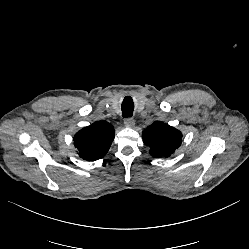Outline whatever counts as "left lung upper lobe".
<instances>
[{
    "mask_svg": "<svg viewBox=\"0 0 249 249\" xmlns=\"http://www.w3.org/2000/svg\"><path fill=\"white\" fill-rule=\"evenodd\" d=\"M142 136L152 156L168 157L181 145L182 134L168 124L155 121L144 130Z\"/></svg>",
    "mask_w": 249,
    "mask_h": 249,
    "instance_id": "1",
    "label": "left lung upper lobe"
}]
</instances>
